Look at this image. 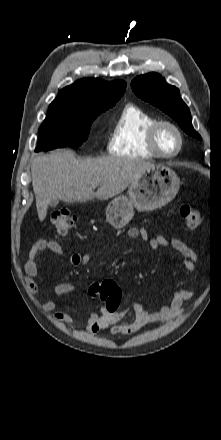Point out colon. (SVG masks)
Here are the masks:
<instances>
[{
    "label": "colon",
    "mask_w": 221,
    "mask_h": 440,
    "mask_svg": "<svg viewBox=\"0 0 221 440\" xmlns=\"http://www.w3.org/2000/svg\"><path fill=\"white\" fill-rule=\"evenodd\" d=\"M180 215L189 229H195L201 224L200 211L192 205H182ZM51 224L58 235H66L77 224V217L67 209H57L51 215ZM92 298L104 301L107 315H118L121 299V289L114 280L94 282L89 288Z\"/></svg>",
    "instance_id": "obj_1"
}]
</instances>
